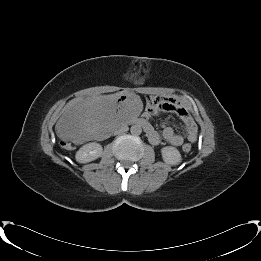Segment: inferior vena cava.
<instances>
[{"mask_svg":"<svg viewBox=\"0 0 261 261\" xmlns=\"http://www.w3.org/2000/svg\"><path fill=\"white\" fill-rule=\"evenodd\" d=\"M128 126L126 124H122L120 125L116 130H115V133L118 134V133H124L126 131H128Z\"/></svg>","mask_w":261,"mask_h":261,"instance_id":"602c4592","label":"inferior vena cava"}]
</instances>
